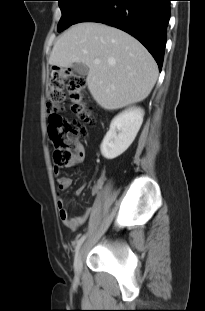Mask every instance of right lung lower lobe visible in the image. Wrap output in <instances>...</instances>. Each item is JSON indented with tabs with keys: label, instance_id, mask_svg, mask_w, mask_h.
<instances>
[{
	"label": "right lung lower lobe",
	"instance_id": "right-lung-lower-lobe-1",
	"mask_svg": "<svg viewBox=\"0 0 205 311\" xmlns=\"http://www.w3.org/2000/svg\"><path fill=\"white\" fill-rule=\"evenodd\" d=\"M171 0H93L79 22H99L138 39L152 54L159 70L166 45Z\"/></svg>",
	"mask_w": 205,
	"mask_h": 311
}]
</instances>
